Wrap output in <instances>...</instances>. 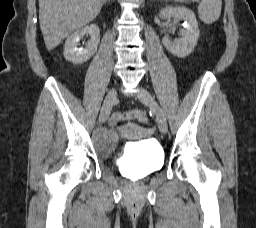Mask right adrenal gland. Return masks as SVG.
<instances>
[{
	"label": "right adrenal gland",
	"instance_id": "obj_1",
	"mask_svg": "<svg viewBox=\"0 0 256 228\" xmlns=\"http://www.w3.org/2000/svg\"><path fill=\"white\" fill-rule=\"evenodd\" d=\"M108 1H110V0H104V3H107Z\"/></svg>",
	"mask_w": 256,
	"mask_h": 228
}]
</instances>
